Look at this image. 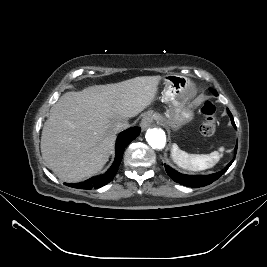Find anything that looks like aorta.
Segmentation results:
<instances>
[{
	"instance_id": "aorta-1",
	"label": "aorta",
	"mask_w": 267,
	"mask_h": 267,
	"mask_svg": "<svg viewBox=\"0 0 267 267\" xmlns=\"http://www.w3.org/2000/svg\"><path fill=\"white\" fill-rule=\"evenodd\" d=\"M145 137L153 149H163L165 147L166 135L163 130L157 128L148 129Z\"/></svg>"
}]
</instances>
